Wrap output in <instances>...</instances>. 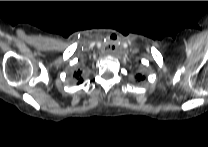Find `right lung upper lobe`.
Masks as SVG:
<instances>
[{"label":"right lung upper lobe","mask_w":208,"mask_h":147,"mask_svg":"<svg viewBox=\"0 0 208 147\" xmlns=\"http://www.w3.org/2000/svg\"><path fill=\"white\" fill-rule=\"evenodd\" d=\"M80 75H81V71L78 70V72H75L74 73V77L78 79L79 83H82V78H80Z\"/></svg>","instance_id":"cb5924a9"}]
</instances>
